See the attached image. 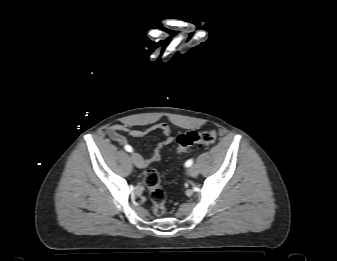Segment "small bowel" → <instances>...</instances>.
Returning a JSON list of instances; mask_svg holds the SVG:
<instances>
[{
	"instance_id": "c3829d8e",
	"label": "small bowel",
	"mask_w": 337,
	"mask_h": 261,
	"mask_svg": "<svg viewBox=\"0 0 337 261\" xmlns=\"http://www.w3.org/2000/svg\"><path fill=\"white\" fill-rule=\"evenodd\" d=\"M154 131H160L163 134L164 139L160 143L157 144L153 153L149 157L145 158L141 156L144 166H148L152 163L158 162L161 158V150L165 146L171 144L174 140V137L171 135V129L168 124L159 123L145 130L131 128L127 125L115 124V125L110 126L106 130V133L113 141L117 142L120 145L126 146L128 145L127 144L128 141L125 135L123 134L124 132H127L133 138H142L148 133L154 132Z\"/></svg>"
}]
</instances>
